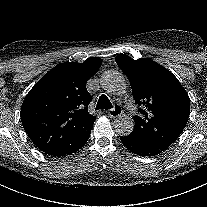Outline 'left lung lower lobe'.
Listing matches in <instances>:
<instances>
[{
    "label": "left lung lower lobe",
    "mask_w": 207,
    "mask_h": 207,
    "mask_svg": "<svg viewBox=\"0 0 207 207\" xmlns=\"http://www.w3.org/2000/svg\"><path fill=\"white\" fill-rule=\"evenodd\" d=\"M120 140L131 152L140 156H154L162 152L160 149L149 146L142 140L132 138L129 135L121 136Z\"/></svg>",
    "instance_id": "obj_1"
}]
</instances>
